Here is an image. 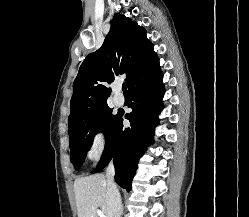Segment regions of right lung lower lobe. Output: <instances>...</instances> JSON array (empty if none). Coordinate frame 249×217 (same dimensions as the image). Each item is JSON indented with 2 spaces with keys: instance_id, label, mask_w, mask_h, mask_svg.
<instances>
[{
  "instance_id": "1",
  "label": "right lung lower lobe",
  "mask_w": 249,
  "mask_h": 217,
  "mask_svg": "<svg viewBox=\"0 0 249 217\" xmlns=\"http://www.w3.org/2000/svg\"><path fill=\"white\" fill-rule=\"evenodd\" d=\"M163 74L159 59L155 55L146 68L132 81L129 95L132 100V112L125 115L130 121L129 128H123V113H119L116 123L106 138L105 149L97 168L101 171L114 158L115 181L130 191L132 179L149 140L158 124V115L162 110L164 87Z\"/></svg>"
}]
</instances>
